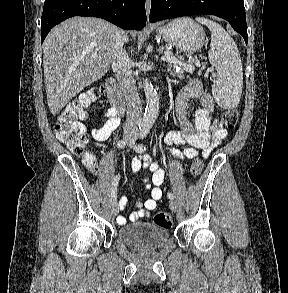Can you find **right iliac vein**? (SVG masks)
<instances>
[{
	"label": "right iliac vein",
	"instance_id": "obj_1",
	"mask_svg": "<svg viewBox=\"0 0 288 293\" xmlns=\"http://www.w3.org/2000/svg\"><path fill=\"white\" fill-rule=\"evenodd\" d=\"M128 143L130 144L131 141L129 139H127ZM119 212V207L117 205V203H114L112 204V207H111V214L115 217Z\"/></svg>",
	"mask_w": 288,
	"mask_h": 293
}]
</instances>
